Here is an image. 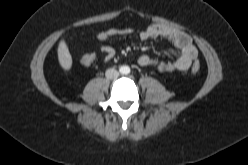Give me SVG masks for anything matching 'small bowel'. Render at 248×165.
I'll use <instances>...</instances> for the list:
<instances>
[{"instance_id":"obj_1","label":"small bowel","mask_w":248,"mask_h":165,"mask_svg":"<svg viewBox=\"0 0 248 165\" xmlns=\"http://www.w3.org/2000/svg\"><path fill=\"white\" fill-rule=\"evenodd\" d=\"M134 32L133 28H109L99 32L96 39L100 42L106 41L112 37H125ZM139 38L142 41L149 39H163L170 42L179 50V55L172 60L155 59L149 55H141L138 58V64L142 67H154L161 73H170L175 71H186L196 61L198 50L193 44L190 36L184 32L176 30L170 26L154 24L140 32ZM97 52L102 55L103 62L111 61L116 51L112 46L101 45Z\"/></svg>"}]
</instances>
